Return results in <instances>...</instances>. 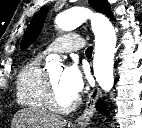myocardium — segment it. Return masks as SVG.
I'll list each match as a JSON object with an SVG mask.
<instances>
[{
  "label": "myocardium",
  "instance_id": "myocardium-1",
  "mask_svg": "<svg viewBox=\"0 0 142 128\" xmlns=\"http://www.w3.org/2000/svg\"><path fill=\"white\" fill-rule=\"evenodd\" d=\"M46 93H47V102L49 108H51L55 112L58 113L70 112L78 104V99L76 97H73V99L67 105H61L57 100L56 91L54 89L51 78L48 74L46 76Z\"/></svg>",
  "mask_w": 142,
  "mask_h": 128
}]
</instances>
